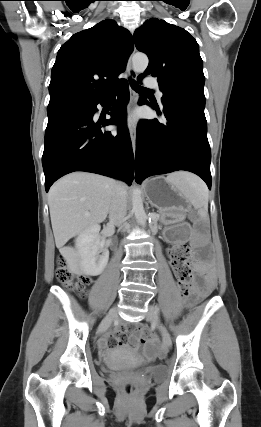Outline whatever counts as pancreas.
I'll return each instance as SVG.
<instances>
[{"mask_svg": "<svg viewBox=\"0 0 261 427\" xmlns=\"http://www.w3.org/2000/svg\"><path fill=\"white\" fill-rule=\"evenodd\" d=\"M154 218L157 220L159 218V215L155 214Z\"/></svg>", "mask_w": 261, "mask_h": 427, "instance_id": "pancreas-1", "label": "pancreas"}]
</instances>
